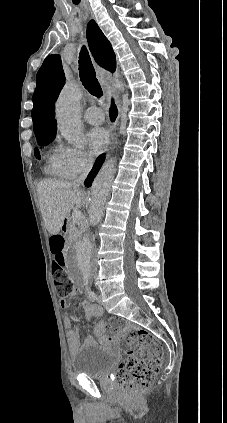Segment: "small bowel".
<instances>
[{"label": "small bowel", "instance_id": "1", "mask_svg": "<svg viewBox=\"0 0 227 423\" xmlns=\"http://www.w3.org/2000/svg\"><path fill=\"white\" fill-rule=\"evenodd\" d=\"M63 256L64 255V249H63ZM59 304L62 308L67 307V300L65 298H61L59 301ZM81 306L85 311L86 320L90 322L93 318L100 317L103 314V309L100 305L91 303L87 300H83L81 302ZM64 324L68 328L67 330V338L69 341V347L72 351H75L79 345L80 341V331L79 329H70L71 327V317L69 314L64 315ZM95 332L97 336L99 337V340L102 343H105L108 341L106 335H105V325L103 323H99L95 327ZM95 340L91 337L86 339V342L92 343Z\"/></svg>", "mask_w": 227, "mask_h": 423}]
</instances>
